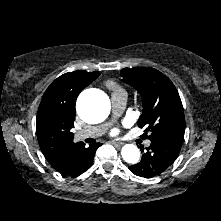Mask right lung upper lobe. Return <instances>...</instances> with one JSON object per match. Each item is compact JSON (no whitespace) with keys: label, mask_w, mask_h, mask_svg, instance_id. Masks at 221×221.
Masks as SVG:
<instances>
[{"label":"right lung upper lobe","mask_w":221,"mask_h":221,"mask_svg":"<svg viewBox=\"0 0 221 221\" xmlns=\"http://www.w3.org/2000/svg\"><path fill=\"white\" fill-rule=\"evenodd\" d=\"M100 75L99 72L77 70L57 79L45 91L37 113V138L39 146L53 166L66 159V153L85 145L74 143L75 103L79 93Z\"/></svg>","instance_id":"right-lung-upper-lobe-1"}]
</instances>
